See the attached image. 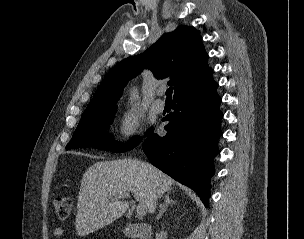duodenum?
Instances as JSON below:
<instances>
[{
    "label": "duodenum",
    "mask_w": 304,
    "mask_h": 239,
    "mask_svg": "<svg viewBox=\"0 0 304 239\" xmlns=\"http://www.w3.org/2000/svg\"><path fill=\"white\" fill-rule=\"evenodd\" d=\"M124 234L136 239H152V228L147 223H128L123 228Z\"/></svg>",
    "instance_id": "duodenum-1"
}]
</instances>
